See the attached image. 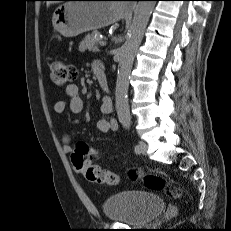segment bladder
<instances>
[{"mask_svg": "<svg viewBox=\"0 0 231 231\" xmlns=\"http://www.w3.org/2000/svg\"><path fill=\"white\" fill-rule=\"evenodd\" d=\"M165 201L156 194L126 191L103 201L104 216L126 225L143 226L154 222L164 211Z\"/></svg>", "mask_w": 231, "mask_h": 231, "instance_id": "31cf9c89", "label": "bladder"}]
</instances>
